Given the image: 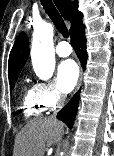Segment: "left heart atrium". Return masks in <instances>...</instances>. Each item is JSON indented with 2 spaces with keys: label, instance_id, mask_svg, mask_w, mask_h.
<instances>
[{
  "label": "left heart atrium",
  "instance_id": "39dd6f15",
  "mask_svg": "<svg viewBox=\"0 0 114 156\" xmlns=\"http://www.w3.org/2000/svg\"><path fill=\"white\" fill-rule=\"evenodd\" d=\"M79 76V69L75 61L68 59L60 63L57 70V80L59 89L70 92L76 85Z\"/></svg>",
  "mask_w": 114,
  "mask_h": 156
}]
</instances>
